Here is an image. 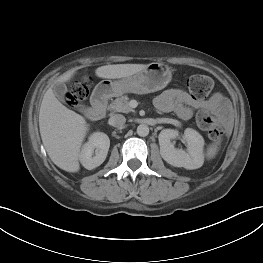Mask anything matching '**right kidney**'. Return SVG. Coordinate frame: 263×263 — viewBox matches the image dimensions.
Here are the masks:
<instances>
[{
    "label": "right kidney",
    "instance_id": "obj_1",
    "mask_svg": "<svg viewBox=\"0 0 263 263\" xmlns=\"http://www.w3.org/2000/svg\"><path fill=\"white\" fill-rule=\"evenodd\" d=\"M109 146L110 140L105 133H93L79 154L81 164L88 170L100 166L106 159Z\"/></svg>",
    "mask_w": 263,
    "mask_h": 263
}]
</instances>
